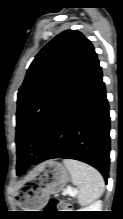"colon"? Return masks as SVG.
<instances>
[{"mask_svg":"<svg viewBox=\"0 0 123 219\" xmlns=\"http://www.w3.org/2000/svg\"><path fill=\"white\" fill-rule=\"evenodd\" d=\"M47 208L50 210L70 211L71 205L57 198H51L48 201Z\"/></svg>","mask_w":123,"mask_h":219,"instance_id":"obj_1","label":"colon"}]
</instances>
